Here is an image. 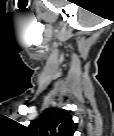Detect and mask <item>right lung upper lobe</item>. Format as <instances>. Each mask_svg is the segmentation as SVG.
<instances>
[{"mask_svg": "<svg viewBox=\"0 0 114 136\" xmlns=\"http://www.w3.org/2000/svg\"><path fill=\"white\" fill-rule=\"evenodd\" d=\"M30 130L38 136H73L76 128L66 110L51 108L30 124Z\"/></svg>", "mask_w": 114, "mask_h": 136, "instance_id": "cb5924a9", "label": "right lung upper lobe"}]
</instances>
